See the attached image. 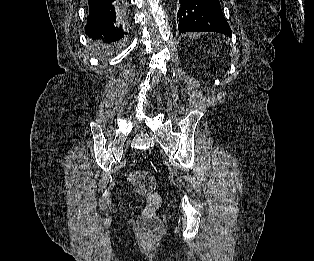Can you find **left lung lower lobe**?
I'll list each match as a JSON object with an SVG mask.
<instances>
[{"label": "left lung lower lobe", "mask_w": 314, "mask_h": 261, "mask_svg": "<svg viewBox=\"0 0 314 261\" xmlns=\"http://www.w3.org/2000/svg\"><path fill=\"white\" fill-rule=\"evenodd\" d=\"M179 34L184 32H219L231 36L219 0H180Z\"/></svg>", "instance_id": "1"}]
</instances>
